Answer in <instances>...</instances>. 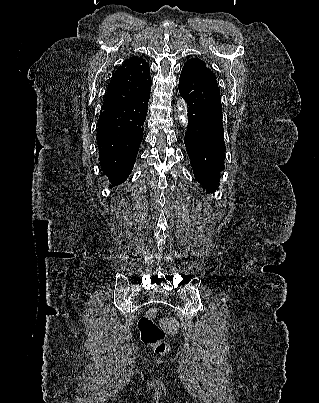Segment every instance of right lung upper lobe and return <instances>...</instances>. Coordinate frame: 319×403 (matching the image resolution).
Here are the masks:
<instances>
[{"instance_id":"right-lung-upper-lobe-1","label":"right lung upper lobe","mask_w":319,"mask_h":403,"mask_svg":"<svg viewBox=\"0 0 319 403\" xmlns=\"http://www.w3.org/2000/svg\"><path fill=\"white\" fill-rule=\"evenodd\" d=\"M151 91L149 64L133 56L119 66L111 80L102 110L120 106L139 99Z\"/></svg>"}]
</instances>
